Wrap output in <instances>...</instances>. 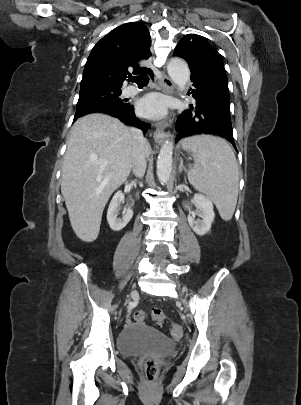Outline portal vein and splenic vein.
<instances>
[{
	"label": "portal vein and splenic vein",
	"mask_w": 301,
	"mask_h": 405,
	"mask_svg": "<svg viewBox=\"0 0 301 405\" xmlns=\"http://www.w3.org/2000/svg\"><path fill=\"white\" fill-rule=\"evenodd\" d=\"M107 163H108V162H103V163H102V165H104V166H105V165H107Z\"/></svg>",
	"instance_id": "1"
}]
</instances>
